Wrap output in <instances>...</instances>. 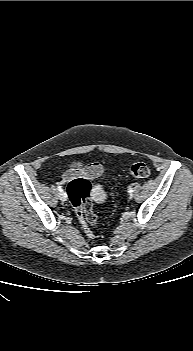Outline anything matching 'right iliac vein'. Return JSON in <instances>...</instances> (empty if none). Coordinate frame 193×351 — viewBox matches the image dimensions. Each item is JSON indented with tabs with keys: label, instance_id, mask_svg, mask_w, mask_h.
Listing matches in <instances>:
<instances>
[{
	"label": "right iliac vein",
	"instance_id": "obj_1",
	"mask_svg": "<svg viewBox=\"0 0 193 351\" xmlns=\"http://www.w3.org/2000/svg\"><path fill=\"white\" fill-rule=\"evenodd\" d=\"M59 198H60V200H62V201H66V199H67V194H66L64 191H62V192L59 193Z\"/></svg>",
	"mask_w": 193,
	"mask_h": 351
}]
</instances>
